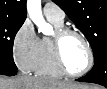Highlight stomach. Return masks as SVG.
Here are the masks:
<instances>
[{
    "instance_id": "1",
    "label": "stomach",
    "mask_w": 107,
    "mask_h": 89,
    "mask_svg": "<svg viewBox=\"0 0 107 89\" xmlns=\"http://www.w3.org/2000/svg\"><path fill=\"white\" fill-rule=\"evenodd\" d=\"M68 89H79V88H76V87H68ZM86 89V88H84Z\"/></svg>"
}]
</instances>
